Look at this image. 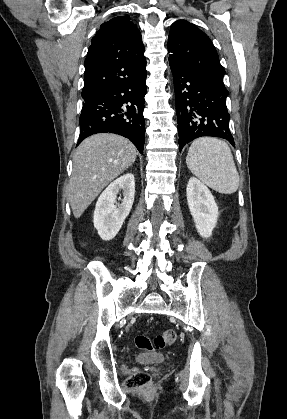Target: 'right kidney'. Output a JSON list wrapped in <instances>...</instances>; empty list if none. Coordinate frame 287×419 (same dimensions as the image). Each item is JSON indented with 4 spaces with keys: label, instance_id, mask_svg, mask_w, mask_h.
Segmentation results:
<instances>
[{
    "label": "right kidney",
    "instance_id": "right-kidney-1",
    "mask_svg": "<svg viewBox=\"0 0 287 419\" xmlns=\"http://www.w3.org/2000/svg\"><path fill=\"white\" fill-rule=\"evenodd\" d=\"M122 190L123 199L117 195ZM135 179L131 173L124 174L113 181L100 195L94 211V227L99 236L109 241L121 229L134 202ZM117 199L121 203H117Z\"/></svg>",
    "mask_w": 287,
    "mask_h": 419
}]
</instances>
